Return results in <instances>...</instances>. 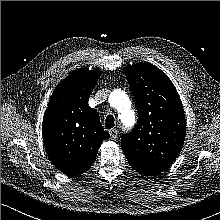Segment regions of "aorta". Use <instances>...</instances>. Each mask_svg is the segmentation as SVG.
I'll return each instance as SVG.
<instances>
[{"label":"aorta","mask_w":220,"mask_h":220,"mask_svg":"<svg viewBox=\"0 0 220 220\" xmlns=\"http://www.w3.org/2000/svg\"><path fill=\"white\" fill-rule=\"evenodd\" d=\"M110 103L117 108L119 118L124 128H131L135 124V115L131 110L128 96L122 90H114L109 97Z\"/></svg>","instance_id":"762f6f07"}]
</instances>
